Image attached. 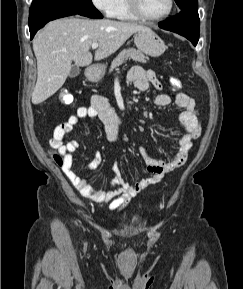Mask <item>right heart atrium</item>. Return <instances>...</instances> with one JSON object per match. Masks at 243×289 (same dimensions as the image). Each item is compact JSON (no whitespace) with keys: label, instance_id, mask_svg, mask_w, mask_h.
I'll return each instance as SVG.
<instances>
[{"label":"right heart atrium","instance_id":"1","mask_svg":"<svg viewBox=\"0 0 243 289\" xmlns=\"http://www.w3.org/2000/svg\"><path fill=\"white\" fill-rule=\"evenodd\" d=\"M91 2L98 10L110 15L116 5L117 0H91Z\"/></svg>","mask_w":243,"mask_h":289}]
</instances>
